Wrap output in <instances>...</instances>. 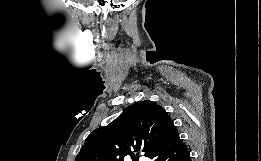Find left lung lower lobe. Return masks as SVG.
Wrapping results in <instances>:
<instances>
[{"label":"left lung lower lobe","instance_id":"1","mask_svg":"<svg viewBox=\"0 0 261 161\" xmlns=\"http://www.w3.org/2000/svg\"><path fill=\"white\" fill-rule=\"evenodd\" d=\"M153 161H191L186 145H183L178 131L173 132L169 140L156 148L149 156Z\"/></svg>","mask_w":261,"mask_h":161}]
</instances>
